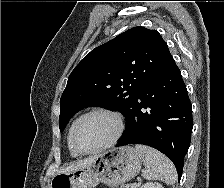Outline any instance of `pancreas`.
<instances>
[{"mask_svg": "<svg viewBox=\"0 0 224 188\" xmlns=\"http://www.w3.org/2000/svg\"><path fill=\"white\" fill-rule=\"evenodd\" d=\"M120 188H127V185L122 184Z\"/></svg>", "mask_w": 224, "mask_h": 188, "instance_id": "obj_1", "label": "pancreas"}]
</instances>
